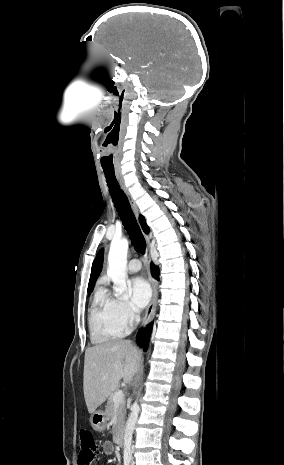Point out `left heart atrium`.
<instances>
[{
  "mask_svg": "<svg viewBox=\"0 0 284 465\" xmlns=\"http://www.w3.org/2000/svg\"><path fill=\"white\" fill-rule=\"evenodd\" d=\"M129 304L135 311L143 310L151 298V290L147 281L141 277L133 278L128 284Z\"/></svg>",
  "mask_w": 284,
  "mask_h": 465,
  "instance_id": "left-heart-atrium-1",
  "label": "left heart atrium"
}]
</instances>
